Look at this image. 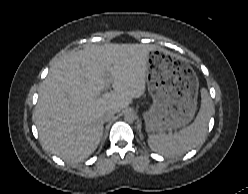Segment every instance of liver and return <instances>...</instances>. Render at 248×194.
<instances>
[{"mask_svg": "<svg viewBox=\"0 0 248 194\" xmlns=\"http://www.w3.org/2000/svg\"><path fill=\"white\" fill-rule=\"evenodd\" d=\"M149 44L90 45L59 60L43 81L34 112L42 146L70 162L97 148L104 115L144 94ZM107 84L114 88L102 93Z\"/></svg>", "mask_w": 248, "mask_h": 194, "instance_id": "liver-1", "label": "liver"}]
</instances>
